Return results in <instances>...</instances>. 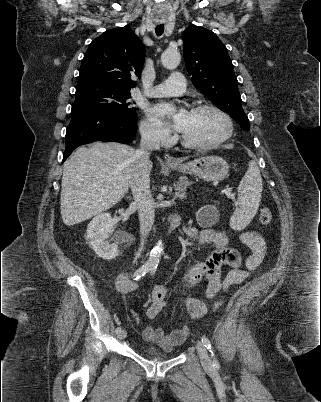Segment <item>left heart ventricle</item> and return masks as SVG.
<instances>
[{"mask_svg": "<svg viewBox=\"0 0 321 402\" xmlns=\"http://www.w3.org/2000/svg\"><path fill=\"white\" fill-rule=\"evenodd\" d=\"M226 130L222 116L213 110L190 111L184 129L187 139L197 143L212 142L220 138Z\"/></svg>", "mask_w": 321, "mask_h": 402, "instance_id": "obj_1", "label": "left heart ventricle"}]
</instances>
